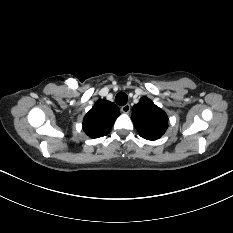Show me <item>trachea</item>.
Instances as JSON below:
<instances>
[{
	"instance_id": "1",
	"label": "trachea",
	"mask_w": 233,
	"mask_h": 233,
	"mask_svg": "<svg viewBox=\"0 0 233 233\" xmlns=\"http://www.w3.org/2000/svg\"><path fill=\"white\" fill-rule=\"evenodd\" d=\"M127 101H128V96L124 92L118 93L115 97V102L120 106H124L127 103Z\"/></svg>"
}]
</instances>
